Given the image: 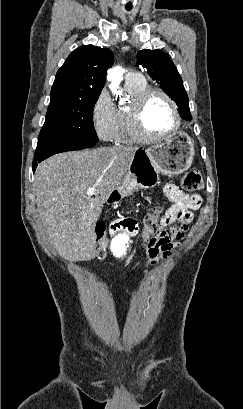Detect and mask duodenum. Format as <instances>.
Here are the masks:
<instances>
[{
  "mask_svg": "<svg viewBox=\"0 0 243 409\" xmlns=\"http://www.w3.org/2000/svg\"><path fill=\"white\" fill-rule=\"evenodd\" d=\"M119 200V196L117 193H113L110 198H109V203H114L116 201ZM113 231H119V230H125L128 232H133L135 229V223L130 220V219H124V220H120L115 222L112 226H111Z\"/></svg>",
  "mask_w": 243,
  "mask_h": 409,
  "instance_id": "duodenum-1",
  "label": "duodenum"
}]
</instances>
